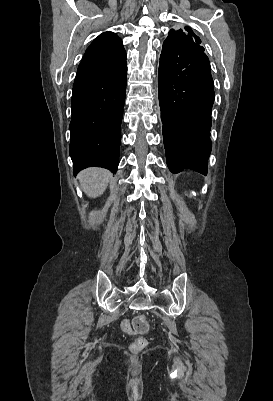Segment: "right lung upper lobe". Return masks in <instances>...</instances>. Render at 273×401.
Returning a JSON list of instances; mask_svg holds the SVG:
<instances>
[{"label": "right lung upper lobe", "instance_id": "cb5924a9", "mask_svg": "<svg viewBox=\"0 0 273 401\" xmlns=\"http://www.w3.org/2000/svg\"><path fill=\"white\" fill-rule=\"evenodd\" d=\"M126 58L122 40L113 32L99 35L87 48L75 80L99 73Z\"/></svg>", "mask_w": 273, "mask_h": 401}]
</instances>
